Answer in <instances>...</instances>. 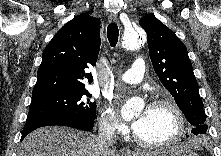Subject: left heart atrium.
Returning <instances> with one entry per match:
<instances>
[{"label":"left heart atrium","mask_w":221,"mask_h":156,"mask_svg":"<svg viewBox=\"0 0 221 156\" xmlns=\"http://www.w3.org/2000/svg\"><path fill=\"white\" fill-rule=\"evenodd\" d=\"M146 113H147V110H144V112L132 122L131 126L135 132L139 130L140 127L142 126Z\"/></svg>","instance_id":"1"}]
</instances>
